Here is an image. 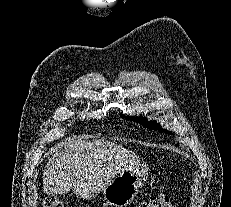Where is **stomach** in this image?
<instances>
[{"label": "stomach", "mask_w": 231, "mask_h": 207, "mask_svg": "<svg viewBox=\"0 0 231 207\" xmlns=\"http://www.w3.org/2000/svg\"><path fill=\"white\" fill-rule=\"evenodd\" d=\"M147 175L146 169L139 167L117 174L103 189L106 203L112 207H126L143 187Z\"/></svg>", "instance_id": "stomach-1"}]
</instances>
